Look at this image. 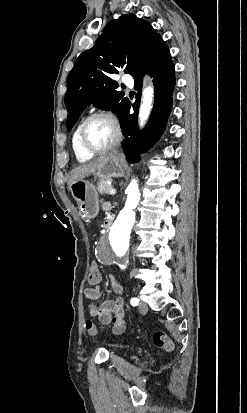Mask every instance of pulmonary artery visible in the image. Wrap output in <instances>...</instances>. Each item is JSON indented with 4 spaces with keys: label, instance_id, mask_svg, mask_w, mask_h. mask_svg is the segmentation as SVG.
<instances>
[{
    "label": "pulmonary artery",
    "instance_id": "1",
    "mask_svg": "<svg viewBox=\"0 0 247 413\" xmlns=\"http://www.w3.org/2000/svg\"><path fill=\"white\" fill-rule=\"evenodd\" d=\"M117 80H119V81H125V83L127 84V83H130V85L131 86H134L133 85V80L134 79H131L129 76H125V75H117Z\"/></svg>",
    "mask_w": 247,
    "mask_h": 413
}]
</instances>
